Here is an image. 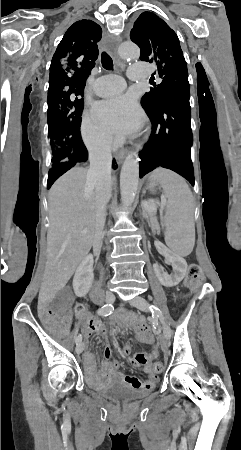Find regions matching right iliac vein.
Returning <instances> with one entry per match:
<instances>
[{
	"label": "right iliac vein",
	"instance_id": "obj_1",
	"mask_svg": "<svg viewBox=\"0 0 241 450\" xmlns=\"http://www.w3.org/2000/svg\"><path fill=\"white\" fill-rule=\"evenodd\" d=\"M105 300L107 303H113L115 300L114 294L111 292H107L105 294ZM83 350H84V343L83 342L78 343L75 349L76 354L79 355Z\"/></svg>",
	"mask_w": 241,
	"mask_h": 450
}]
</instances>
